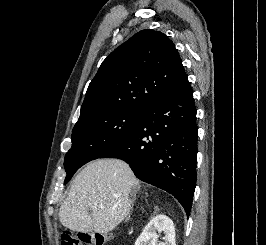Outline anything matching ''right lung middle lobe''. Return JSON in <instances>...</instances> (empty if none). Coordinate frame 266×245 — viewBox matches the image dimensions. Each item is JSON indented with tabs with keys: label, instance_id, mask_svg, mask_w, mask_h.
<instances>
[{
	"label": "right lung middle lobe",
	"instance_id": "right-lung-middle-lobe-1",
	"mask_svg": "<svg viewBox=\"0 0 266 245\" xmlns=\"http://www.w3.org/2000/svg\"><path fill=\"white\" fill-rule=\"evenodd\" d=\"M145 111L107 108L79 118L72 131V147L64 161V184L87 162L123 142L135 129Z\"/></svg>",
	"mask_w": 266,
	"mask_h": 245
}]
</instances>
